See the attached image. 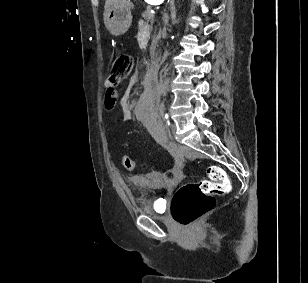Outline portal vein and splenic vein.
<instances>
[{
    "label": "portal vein and splenic vein",
    "mask_w": 308,
    "mask_h": 283,
    "mask_svg": "<svg viewBox=\"0 0 308 283\" xmlns=\"http://www.w3.org/2000/svg\"><path fill=\"white\" fill-rule=\"evenodd\" d=\"M151 13L154 14L155 12H154V11H151Z\"/></svg>",
    "instance_id": "1"
}]
</instances>
